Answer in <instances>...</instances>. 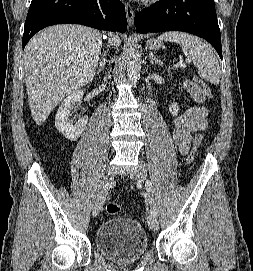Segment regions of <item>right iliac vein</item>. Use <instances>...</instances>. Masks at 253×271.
I'll return each mask as SVG.
<instances>
[{"label": "right iliac vein", "mask_w": 253, "mask_h": 271, "mask_svg": "<svg viewBox=\"0 0 253 271\" xmlns=\"http://www.w3.org/2000/svg\"><path fill=\"white\" fill-rule=\"evenodd\" d=\"M114 180V173L112 168H108L103 176L101 181L97 197L93 207V216H97L103 209L105 199L108 193L109 188Z\"/></svg>", "instance_id": "1"}]
</instances>
